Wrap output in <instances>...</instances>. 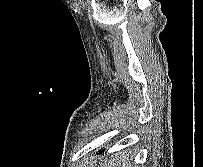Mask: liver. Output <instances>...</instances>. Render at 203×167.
<instances>
[{"instance_id": "obj_1", "label": "liver", "mask_w": 203, "mask_h": 167, "mask_svg": "<svg viewBox=\"0 0 203 167\" xmlns=\"http://www.w3.org/2000/svg\"><path fill=\"white\" fill-rule=\"evenodd\" d=\"M131 160L132 156L129 158V155H127L126 151H121L119 154L111 156L109 159H105L98 167H128V163Z\"/></svg>"}]
</instances>
